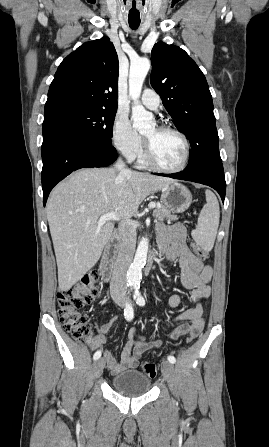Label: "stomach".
Returning <instances> with one entry per match:
<instances>
[{"label":"stomach","instance_id":"stomach-1","mask_svg":"<svg viewBox=\"0 0 269 447\" xmlns=\"http://www.w3.org/2000/svg\"><path fill=\"white\" fill-rule=\"evenodd\" d=\"M161 192V200L164 206L174 214L185 212L192 204L191 192L181 184H169V186L162 188Z\"/></svg>","mask_w":269,"mask_h":447}]
</instances>
